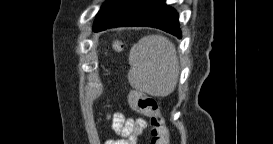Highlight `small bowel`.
<instances>
[{
  "label": "small bowel",
  "mask_w": 273,
  "mask_h": 144,
  "mask_svg": "<svg viewBox=\"0 0 273 144\" xmlns=\"http://www.w3.org/2000/svg\"><path fill=\"white\" fill-rule=\"evenodd\" d=\"M109 118L112 121V128L122 135L119 144H135L147 127V122L144 119L126 121L122 114H113Z\"/></svg>",
  "instance_id": "c3829d8e"
}]
</instances>
